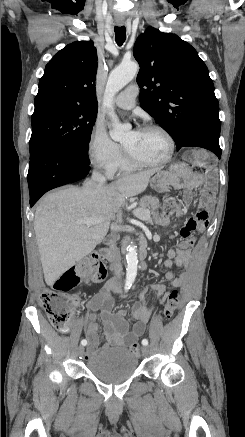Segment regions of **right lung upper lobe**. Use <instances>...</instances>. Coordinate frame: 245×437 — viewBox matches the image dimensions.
<instances>
[{"instance_id":"cb5924a9","label":"right lung upper lobe","mask_w":245,"mask_h":437,"mask_svg":"<svg viewBox=\"0 0 245 437\" xmlns=\"http://www.w3.org/2000/svg\"><path fill=\"white\" fill-rule=\"evenodd\" d=\"M97 61V50L92 41L74 42L64 47L45 67L35 106L62 103L97 109Z\"/></svg>"}]
</instances>
